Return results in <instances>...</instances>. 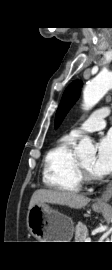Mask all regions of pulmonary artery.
Returning <instances> with one entry per match:
<instances>
[{
  "label": "pulmonary artery",
  "instance_id": "pulmonary-artery-1",
  "mask_svg": "<svg viewBox=\"0 0 112 270\" xmlns=\"http://www.w3.org/2000/svg\"><path fill=\"white\" fill-rule=\"evenodd\" d=\"M109 114L107 108L97 109L92 115L84 121L79 127L74 128L70 135L77 138L84 133L99 131L106 126L105 117Z\"/></svg>",
  "mask_w": 112,
  "mask_h": 270
}]
</instances>
